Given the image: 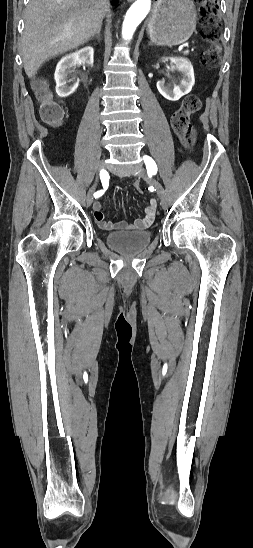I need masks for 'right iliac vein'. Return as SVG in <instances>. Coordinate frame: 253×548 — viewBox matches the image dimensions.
<instances>
[{"label": "right iliac vein", "mask_w": 253, "mask_h": 548, "mask_svg": "<svg viewBox=\"0 0 253 548\" xmlns=\"http://www.w3.org/2000/svg\"><path fill=\"white\" fill-rule=\"evenodd\" d=\"M104 167H105V162L104 160H101L98 164V173L101 172L102 170H104ZM97 187V180L96 182L94 183V185L91 187V189L89 190L88 194H87V204L88 205H91L92 202H93V195H94V192H95V189Z\"/></svg>", "instance_id": "1"}]
</instances>
